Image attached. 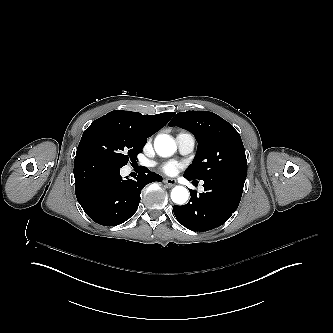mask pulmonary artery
Here are the masks:
<instances>
[{
	"mask_svg": "<svg viewBox=\"0 0 333 333\" xmlns=\"http://www.w3.org/2000/svg\"><path fill=\"white\" fill-rule=\"evenodd\" d=\"M178 150L182 155H189L195 148V137L191 132L182 131L176 135Z\"/></svg>",
	"mask_w": 333,
	"mask_h": 333,
	"instance_id": "obj_1",
	"label": "pulmonary artery"
}]
</instances>
